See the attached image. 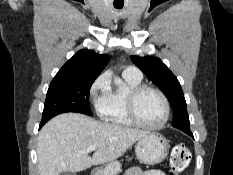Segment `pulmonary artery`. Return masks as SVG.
Returning <instances> with one entry per match:
<instances>
[{
    "label": "pulmonary artery",
    "instance_id": "obj_1",
    "mask_svg": "<svg viewBox=\"0 0 233 175\" xmlns=\"http://www.w3.org/2000/svg\"><path fill=\"white\" fill-rule=\"evenodd\" d=\"M123 74L133 76L136 78H142L141 71L135 66H128L124 71Z\"/></svg>",
    "mask_w": 233,
    "mask_h": 175
}]
</instances>
